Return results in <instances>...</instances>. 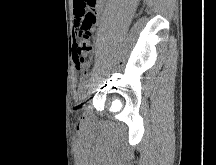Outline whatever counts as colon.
Listing matches in <instances>:
<instances>
[{"label": "colon", "instance_id": "obj_1", "mask_svg": "<svg viewBox=\"0 0 216 165\" xmlns=\"http://www.w3.org/2000/svg\"><path fill=\"white\" fill-rule=\"evenodd\" d=\"M95 18L91 12H87L75 29L76 44L74 47V60L76 68L83 71L92 54L91 37L93 35Z\"/></svg>", "mask_w": 216, "mask_h": 165}]
</instances>
